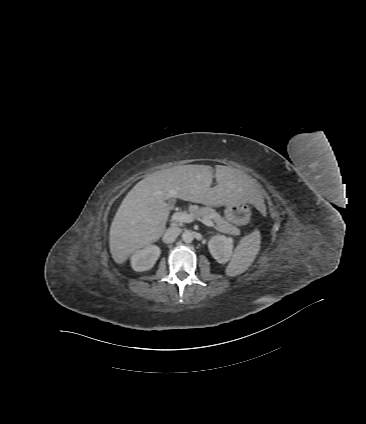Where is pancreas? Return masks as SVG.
<instances>
[{"label":"pancreas","instance_id":"obj_1","mask_svg":"<svg viewBox=\"0 0 366 424\" xmlns=\"http://www.w3.org/2000/svg\"><path fill=\"white\" fill-rule=\"evenodd\" d=\"M190 213L194 214L197 218H209L212 219L216 226L215 228L222 233L231 234L238 236L240 235V230L232 225L230 222L221 217L214 209L211 207H202L198 208L197 206H193L190 208Z\"/></svg>","mask_w":366,"mask_h":424}]
</instances>
